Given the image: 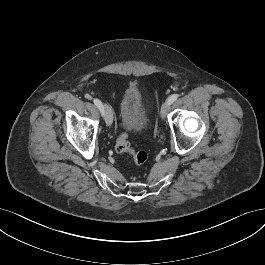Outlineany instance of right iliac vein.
I'll use <instances>...</instances> for the list:
<instances>
[{"instance_id":"right-iliac-vein-1","label":"right iliac vein","mask_w":265,"mask_h":265,"mask_svg":"<svg viewBox=\"0 0 265 265\" xmlns=\"http://www.w3.org/2000/svg\"><path fill=\"white\" fill-rule=\"evenodd\" d=\"M103 112H104V118H105V122L107 126H111L113 122V114H112V110L109 107V105L107 104L103 105Z\"/></svg>"}]
</instances>
